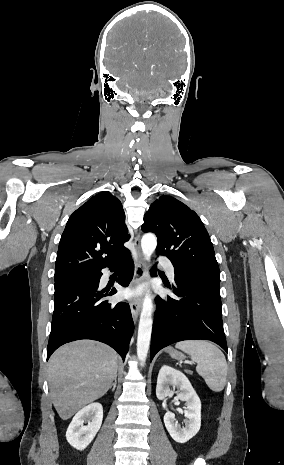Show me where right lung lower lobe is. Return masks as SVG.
Returning <instances> with one entry per match:
<instances>
[{"label":"right lung lower lobe","mask_w":284,"mask_h":465,"mask_svg":"<svg viewBox=\"0 0 284 465\" xmlns=\"http://www.w3.org/2000/svg\"><path fill=\"white\" fill-rule=\"evenodd\" d=\"M123 265L118 283L128 286L133 277V261L127 251L108 267ZM102 273L55 289L54 312L47 347V360L61 345L80 339L108 344L125 359L134 330L131 310L126 302L108 303L104 298L117 292L101 290Z\"/></svg>","instance_id":"right-lung-lower-lobe-1"}]
</instances>
